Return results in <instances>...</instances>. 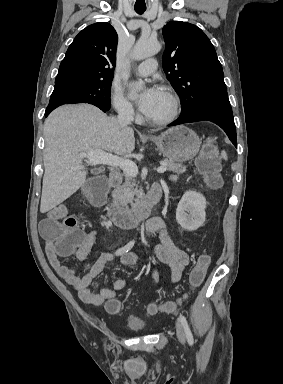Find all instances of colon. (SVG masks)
<instances>
[{
  "mask_svg": "<svg viewBox=\"0 0 283 384\" xmlns=\"http://www.w3.org/2000/svg\"><path fill=\"white\" fill-rule=\"evenodd\" d=\"M197 167L206 184L212 189H219L222 185L220 164L218 159V148L214 140H207L197 159ZM109 190L108 182L100 176L92 177L83 187L81 193L84 201L92 206H100L104 203ZM41 232L45 238L56 243L55 248L59 255L66 256L83 246L86 236L80 228V218L70 215L59 220H44ZM211 258L208 254H201L196 265L189 275V287L191 290L198 288L204 281ZM177 303L167 302L163 305L150 304L147 311L151 314L162 312H173ZM109 313L115 314L121 311L122 305L119 300H109L105 304Z\"/></svg>",
  "mask_w": 283,
  "mask_h": 384,
  "instance_id": "1",
  "label": "colon"
}]
</instances>
